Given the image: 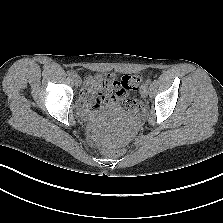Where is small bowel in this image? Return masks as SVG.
<instances>
[{
	"label": "small bowel",
	"instance_id": "small-bowel-1",
	"mask_svg": "<svg viewBox=\"0 0 223 223\" xmlns=\"http://www.w3.org/2000/svg\"><path fill=\"white\" fill-rule=\"evenodd\" d=\"M117 77L112 73L91 74L81 92L83 106L95 111L118 107L120 96L115 94L113 82Z\"/></svg>",
	"mask_w": 223,
	"mask_h": 223
}]
</instances>
